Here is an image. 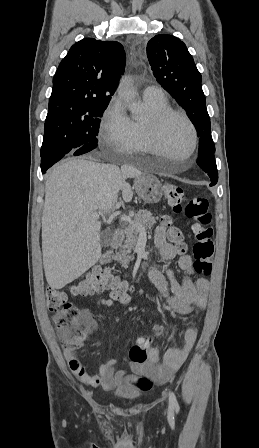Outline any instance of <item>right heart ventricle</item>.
Masks as SVG:
<instances>
[{"label":"right heart ventricle","mask_w":259,"mask_h":448,"mask_svg":"<svg viewBox=\"0 0 259 448\" xmlns=\"http://www.w3.org/2000/svg\"><path fill=\"white\" fill-rule=\"evenodd\" d=\"M143 101L149 109V115L151 113H158L170 109V104L166 97L155 99L143 95ZM125 117L129 124L132 135V151L127 157L123 159V161L127 163H138V156L141 152H145L146 150L150 152L152 150L148 141V135L145 126V121L148 117L144 120H137L127 114H125Z\"/></svg>","instance_id":"1"}]
</instances>
